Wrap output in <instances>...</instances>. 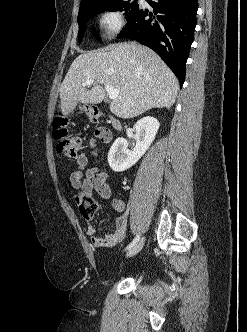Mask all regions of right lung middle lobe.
I'll use <instances>...</instances> for the list:
<instances>
[{
  "instance_id": "right-lung-middle-lobe-1",
  "label": "right lung middle lobe",
  "mask_w": 247,
  "mask_h": 332,
  "mask_svg": "<svg viewBox=\"0 0 247 332\" xmlns=\"http://www.w3.org/2000/svg\"><path fill=\"white\" fill-rule=\"evenodd\" d=\"M139 9L140 8L137 0H104L86 8L80 9L77 18L79 24L78 40L81 41L83 38L87 21L97 14L105 11H123L125 12V17L128 19L133 16Z\"/></svg>"
}]
</instances>
